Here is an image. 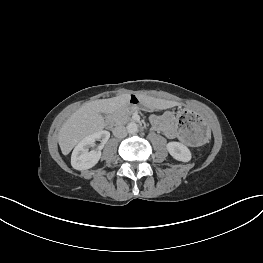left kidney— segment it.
Wrapping results in <instances>:
<instances>
[{
  "instance_id": "left-kidney-1",
  "label": "left kidney",
  "mask_w": 263,
  "mask_h": 263,
  "mask_svg": "<svg viewBox=\"0 0 263 263\" xmlns=\"http://www.w3.org/2000/svg\"><path fill=\"white\" fill-rule=\"evenodd\" d=\"M169 154L176 160L188 162L191 160V152L187 146L180 142H169L167 144Z\"/></svg>"
}]
</instances>
